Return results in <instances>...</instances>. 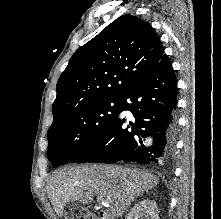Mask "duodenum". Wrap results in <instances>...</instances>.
<instances>
[{"label":"duodenum","instance_id":"410a0bca","mask_svg":"<svg viewBox=\"0 0 221 219\" xmlns=\"http://www.w3.org/2000/svg\"><path fill=\"white\" fill-rule=\"evenodd\" d=\"M98 219H114L109 213L105 211L98 212Z\"/></svg>","mask_w":221,"mask_h":219}]
</instances>
